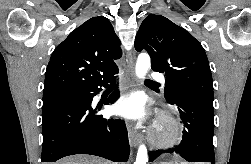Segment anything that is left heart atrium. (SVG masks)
Returning <instances> with one entry per match:
<instances>
[{"instance_id": "1", "label": "left heart atrium", "mask_w": 251, "mask_h": 164, "mask_svg": "<svg viewBox=\"0 0 251 164\" xmlns=\"http://www.w3.org/2000/svg\"><path fill=\"white\" fill-rule=\"evenodd\" d=\"M115 109L118 114L130 119L146 120L150 115L144 100L137 94L123 96L117 102Z\"/></svg>"}]
</instances>
